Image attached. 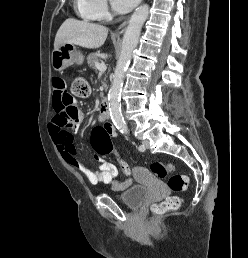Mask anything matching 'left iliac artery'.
I'll list each match as a JSON object with an SVG mask.
<instances>
[{"label":"left iliac artery","instance_id":"obj_1","mask_svg":"<svg viewBox=\"0 0 248 258\" xmlns=\"http://www.w3.org/2000/svg\"><path fill=\"white\" fill-rule=\"evenodd\" d=\"M138 150H139V151H144L145 148L143 147V145H140V146L138 147Z\"/></svg>","mask_w":248,"mask_h":258}]
</instances>
